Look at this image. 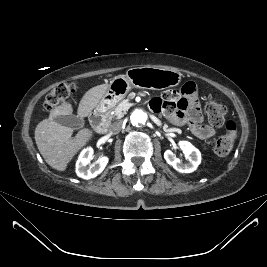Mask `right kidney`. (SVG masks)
Instances as JSON below:
<instances>
[{
    "instance_id": "right-kidney-1",
    "label": "right kidney",
    "mask_w": 267,
    "mask_h": 267,
    "mask_svg": "<svg viewBox=\"0 0 267 267\" xmlns=\"http://www.w3.org/2000/svg\"><path fill=\"white\" fill-rule=\"evenodd\" d=\"M93 149L88 147L84 149L76 162V174L83 179H91L98 176L106 167L109 159L106 156L100 157L96 162L90 164L92 160Z\"/></svg>"
}]
</instances>
